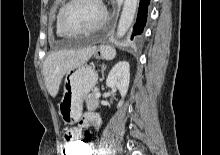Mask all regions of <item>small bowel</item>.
I'll use <instances>...</instances> for the list:
<instances>
[{
  "label": "small bowel",
  "instance_id": "small-bowel-1",
  "mask_svg": "<svg viewBox=\"0 0 220 155\" xmlns=\"http://www.w3.org/2000/svg\"><path fill=\"white\" fill-rule=\"evenodd\" d=\"M100 118L94 113H86L79 122V126H64L63 135L65 141H74V139H82V129L92 128L95 132L100 129ZM94 147L90 145L87 155L94 154Z\"/></svg>",
  "mask_w": 220,
  "mask_h": 155
}]
</instances>
